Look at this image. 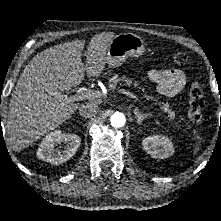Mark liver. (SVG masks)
Listing matches in <instances>:
<instances>
[{
	"instance_id": "1",
	"label": "liver",
	"mask_w": 221,
	"mask_h": 221,
	"mask_svg": "<svg viewBox=\"0 0 221 221\" xmlns=\"http://www.w3.org/2000/svg\"><path fill=\"white\" fill-rule=\"evenodd\" d=\"M114 36L113 32H104L91 38L85 66L81 59L83 40L50 47L32 58L9 104L6 131L14 151L27 148L75 113L80 103H67L62 96L83 81L85 72L89 77L101 75Z\"/></svg>"
}]
</instances>
